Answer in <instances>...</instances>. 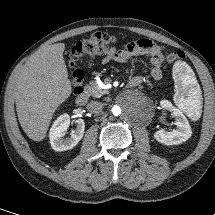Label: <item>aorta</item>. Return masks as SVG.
<instances>
[{
	"instance_id": "1",
	"label": "aorta",
	"mask_w": 215,
	"mask_h": 215,
	"mask_svg": "<svg viewBox=\"0 0 215 215\" xmlns=\"http://www.w3.org/2000/svg\"><path fill=\"white\" fill-rule=\"evenodd\" d=\"M113 113L116 114V115L120 114L121 113L120 108L119 107H114L113 108Z\"/></svg>"
}]
</instances>
